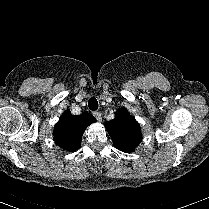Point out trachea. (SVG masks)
<instances>
[{
  "label": "trachea",
  "mask_w": 209,
  "mask_h": 209,
  "mask_svg": "<svg viewBox=\"0 0 209 209\" xmlns=\"http://www.w3.org/2000/svg\"><path fill=\"white\" fill-rule=\"evenodd\" d=\"M88 107L92 111H96L98 109V101L96 98L92 97L88 101Z\"/></svg>",
  "instance_id": "3493384b"
}]
</instances>
